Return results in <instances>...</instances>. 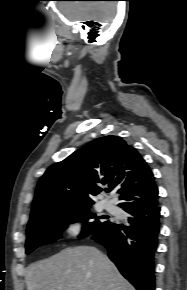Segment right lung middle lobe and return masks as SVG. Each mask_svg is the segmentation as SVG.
<instances>
[{"label": "right lung middle lobe", "instance_id": "obj_1", "mask_svg": "<svg viewBox=\"0 0 187 290\" xmlns=\"http://www.w3.org/2000/svg\"><path fill=\"white\" fill-rule=\"evenodd\" d=\"M90 205L74 210L56 211L30 223L27 227L26 254L39 246L49 244L60 238V232L67 228L66 224L84 222L79 238L94 234L109 225L111 221H100L101 217L89 211ZM95 221L88 222L89 219Z\"/></svg>", "mask_w": 187, "mask_h": 290}]
</instances>
